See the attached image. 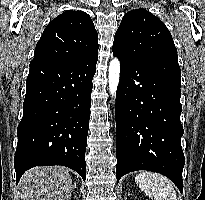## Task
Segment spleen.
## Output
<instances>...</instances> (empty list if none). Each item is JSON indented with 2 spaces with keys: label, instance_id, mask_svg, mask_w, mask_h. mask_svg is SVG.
<instances>
[{
  "label": "spleen",
  "instance_id": "3e777b00",
  "mask_svg": "<svg viewBox=\"0 0 205 200\" xmlns=\"http://www.w3.org/2000/svg\"><path fill=\"white\" fill-rule=\"evenodd\" d=\"M135 182L152 200H178L174 185L165 176L150 171H142Z\"/></svg>",
  "mask_w": 205,
  "mask_h": 200
}]
</instances>
